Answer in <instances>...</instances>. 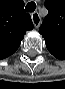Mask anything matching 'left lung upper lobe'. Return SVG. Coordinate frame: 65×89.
I'll list each match as a JSON object with an SVG mask.
<instances>
[{
    "label": "left lung upper lobe",
    "mask_w": 65,
    "mask_h": 89,
    "mask_svg": "<svg viewBox=\"0 0 65 89\" xmlns=\"http://www.w3.org/2000/svg\"><path fill=\"white\" fill-rule=\"evenodd\" d=\"M48 15L39 28L45 41L65 45V0H45Z\"/></svg>",
    "instance_id": "5c2ea615"
}]
</instances>
